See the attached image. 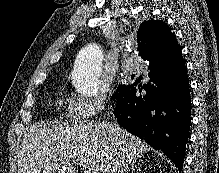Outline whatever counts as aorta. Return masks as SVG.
I'll use <instances>...</instances> for the list:
<instances>
[{
    "instance_id": "obj_1",
    "label": "aorta",
    "mask_w": 219,
    "mask_h": 173,
    "mask_svg": "<svg viewBox=\"0 0 219 173\" xmlns=\"http://www.w3.org/2000/svg\"><path fill=\"white\" fill-rule=\"evenodd\" d=\"M102 62L103 53L97 44H89L79 52L74 80L79 93L92 96L98 92Z\"/></svg>"
}]
</instances>
